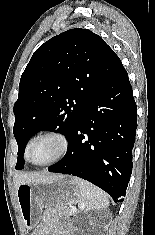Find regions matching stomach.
I'll return each instance as SVG.
<instances>
[{
  "label": "stomach",
  "instance_id": "stomach-1",
  "mask_svg": "<svg viewBox=\"0 0 155 235\" xmlns=\"http://www.w3.org/2000/svg\"><path fill=\"white\" fill-rule=\"evenodd\" d=\"M20 214L28 230L38 226L42 210L48 206H67L80 201V191L73 177L57 176L51 180L21 184L16 190Z\"/></svg>",
  "mask_w": 155,
  "mask_h": 235
}]
</instances>
